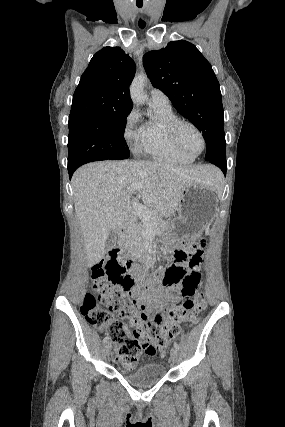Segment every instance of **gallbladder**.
<instances>
[{"label": "gallbladder", "instance_id": "1", "mask_svg": "<svg viewBox=\"0 0 285 427\" xmlns=\"http://www.w3.org/2000/svg\"><path fill=\"white\" fill-rule=\"evenodd\" d=\"M115 245H116L115 234L113 231H110L105 243V251H109L113 249Z\"/></svg>", "mask_w": 285, "mask_h": 427}]
</instances>
